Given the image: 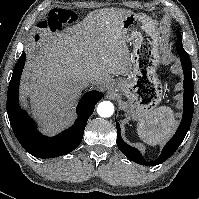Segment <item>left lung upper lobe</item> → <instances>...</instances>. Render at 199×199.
<instances>
[{"mask_svg": "<svg viewBox=\"0 0 199 199\" xmlns=\"http://www.w3.org/2000/svg\"><path fill=\"white\" fill-rule=\"evenodd\" d=\"M177 45H176V48H177V51L179 48L183 49V46H182V37H181V33L179 31H177ZM184 50V49H183Z\"/></svg>", "mask_w": 199, "mask_h": 199, "instance_id": "obj_1", "label": "left lung upper lobe"}]
</instances>
